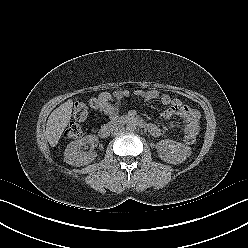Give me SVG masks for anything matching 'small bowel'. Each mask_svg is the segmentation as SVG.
I'll list each match as a JSON object with an SVG mask.
<instances>
[{"mask_svg": "<svg viewBox=\"0 0 248 248\" xmlns=\"http://www.w3.org/2000/svg\"><path fill=\"white\" fill-rule=\"evenodd\" d=\"M130 95L131 93L129 90H116L112 94H101L100 96L103 97L104 101L100 106V111L110 117L117 116L121 101L128 98ZM134 95L145 102L160 99L161 104L167 107L161 114L164 120H170L175 116L184 120L182 129L184 136L196 137L199 133L200 113L197 109L183 104L179 99L172 98L168 94H160L159 91L155 89L147 91L136 90ZM148 130L155 137L162 134V129L156 124H149Z\"/></svg>", "mask_w": 248, "mask_h": 248, "instance_id": "small-bowel-1", "label": "small bowel"}]
</instances>
